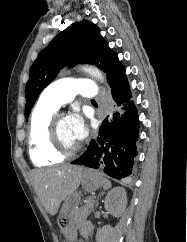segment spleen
<instances>
[{
	"instance_id": "spleen-1",
	"label": "spleen",
	"mask_w": 187,
	"mask_h": 242,
	"mask_svg": "<svg viewBox=\"0 0 187 242\" xmlns=\"http://www.w3.org/2000/svg\"><path fill=\"white\" fill-rule=\"evenodd\" d=\"M103 187H104V189L111 188V182L106 178H103Z\"/></svg>"
}]
</instances>
